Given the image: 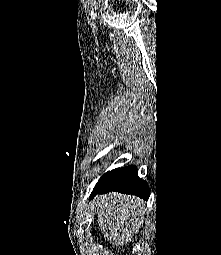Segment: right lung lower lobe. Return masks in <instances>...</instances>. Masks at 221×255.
Wrapping results in <instances>:
<instances>
[{
    "label": "right lung lower lobe",
    "mask_w": 221,
    "mask_h": 255,
    "mask_svg": "<svg viewBox=\"0 0 221 255\" xmlns=\"http://www.w3.org/2000/svg\"><path fill=\"white\" fill-rule=\"evenodd\" d=\"M111 191L134 194L145 200L150 195L147 182L138 177L137 167L134 165L105 173L96 184L91 198L96 194H104Z\"/></svg>",
    "instance_id": "obj_1"
}]
</instances>
